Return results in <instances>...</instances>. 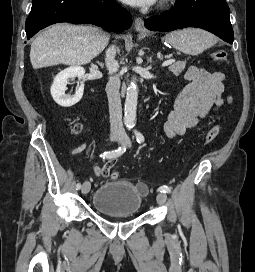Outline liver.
I'll return each mask as SVG.
<instances>
[{
    "label": "liver",
    "instance_id": "obj_1",
    "mask_svg": "<svg viewBox=\"0 0 255 272\" xmlns=\"http://www.w3.org/2000/svg\"><path fill=\"white\" fill-rule=\"evenodd\" d=\"M109 38L98 27L58 23L33 40L30 61L33 69L58 64L85 65L101 53Z\"/></svg>",
    "mask_w": 255,
    "mask_h": 272
}]
</instances>
